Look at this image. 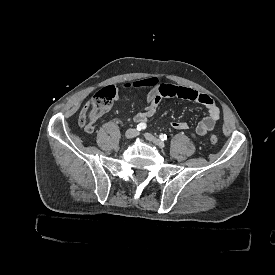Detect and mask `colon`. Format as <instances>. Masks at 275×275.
<instances>
[{
	"label": "colon",
	"instance_id": "colon-1",
	"mask_svg": "<svg viewBox=\"0 0 275 275\" xmlns=\"http://www.w3.org/2000/svg\"><path fill=\"white\" fill-rule=\"evenodd\" d=\"M108 104V98L96 99L91 107H87L81 112L79 117V125L85 131L89 132L92 127L87 122V116H89L90 118H95L96 116H99L107 108ZM209 140L212 144H216L218 142V137L216 135H212Z\"/></svg>",
	"mask_w": 275,
	"mask_h": 275
}]
</instances>
